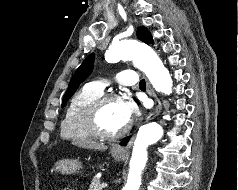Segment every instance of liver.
I'll list each match as a JSON object with an SVG mask.
<instances>
[{"instance_id": "1", "label": "liver", "mask_w": 238, "mask_h": 190, "mask_svg": "<svg viewBox=\"0 0 238 190\" xmlns=\"http://www.w3.org/2000/svg\"><path fill=\"white\" fill-rule=\"evenodd\" d=\"M72 145H76L78 147L86 148V149H94L99 151L107 150V146L103 143H97L94 141H73Z\"/></svg>"}]
</instances>
